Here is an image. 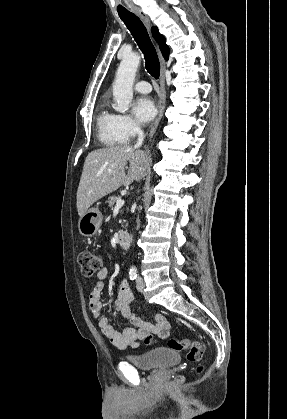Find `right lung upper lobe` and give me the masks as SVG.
I'll return each mask as SVG.
<instances>
[{
	"instance_id": "obj_1",
	"label": "right lung upper lobe",
	"mask_w": 287,
	"mask_h": 419,
	"mask_svg": "<svg viewBox=\"0 0 287 419\" xmlns=\"http://www.w3.org/2000/svg\"><path fill=\"white\" fill-rule=\"evenodd\" d=\"M152 34L155 40L159 43L161 52L164 58L167 60L169 56V47L165 43V38L158 32L157 27H152Z\"/></svg>"
}]
</instances>
